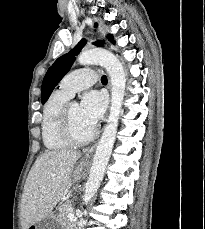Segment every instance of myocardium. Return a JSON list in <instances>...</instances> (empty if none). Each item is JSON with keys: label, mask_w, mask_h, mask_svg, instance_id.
I'll return each mask as SVG.
<instances>
[{"label": "myocardium", "mask_w": 205, "mask_h": 229, "mask_svg": "<svg viewBox=\"0 0 205 229\" xmlns=\"http://www.w3.org/2000/svg\"><path fill=\"white\" fill-rule=\"evenodd\" d=\"M76 103L73 101H68L62 108L59 118V134L63 140H65L69 145H84L90 142L97 133V128L93 127L91 132L83 137H77L72 128L71 122V106Z\"/></svg>", "instance_id": "f54148a6"}]
</instances>
